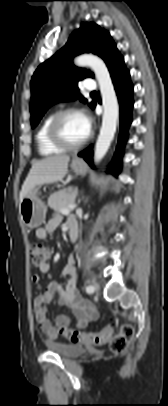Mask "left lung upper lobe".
<instances>
[{"label": "left lung upper lobe", "instance_id": "obj_1", "mask_svg": "<svg viewBox=\"0 0 168 406\" xmlns=\"http://www.w3.org/2000/svg\"><path fill=\"white\" fill-rule=\"evenodd\" d=\"M92 52L100 56L108 66L118 53L110 34L94 23H82L67 43L54 56L43 62L31 79V125L34 128L53 104L61 101L87 100L79 93L78 82L93 77L90 71L72 64L74 56ZM92 108L95 102L89 104Z\"/></svg>", "mask_w": 168, "mask_h": 406}]
</instances>
